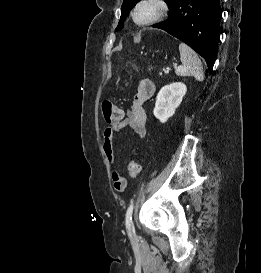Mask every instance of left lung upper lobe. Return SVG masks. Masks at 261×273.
<instances>
[{
  "mask_svg": "<svg viewBox=\"0 0 261 273\" xmlns=\"http://www.w3.org/2000/svg\"><path fill=\"white\" fill-rule=\"evenodd\" d=\"M140 0H124L121 8V19L120 22L116 28V31L123 28V21L125 20V17L128 15L130 10L136 5L137 2ZM176 0H165V2L169 5V7L175 2Z\"/></svg>",
  "mask_w": 261,
  "mask_h": 273,
  "instance_id": "1",
  "label": "left lung upper lobe"
}]
</instances>
